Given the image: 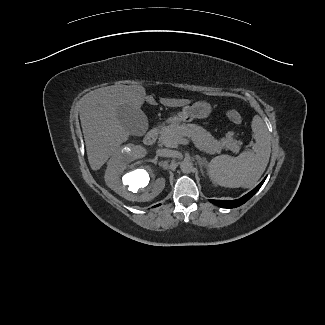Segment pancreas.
I'll list each match as a JSON object with an SVG mask.
<instances>
[{"instance_id": "1", "label": "pancreas", "mask_w": 325, "mask_h": 325, "mask_svg": "<svg viewBox=\"0 0 325 325\" xmlns=\"http://www.w3.org/2000/svg\"><path fill=\"white\" fill-rule=\"evenodd\" d=\"M232 132L227 133L225 138L216 140L208 131L195 124H171L163 127L160 131L159 142L166 146L175 148L177 139L188 137L195 143L196 147L210 154L220 153L223 148L238 152L241 141L233 138Z\"/></svg>"}]
</instances>
